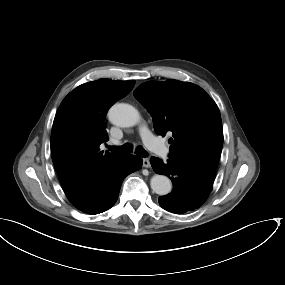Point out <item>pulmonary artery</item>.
<instances>
[{
  "label": "pulmonary artery",
  "mask_w": 285,
  "mask_h": 285,
  "mask_svg": "<svg viewBox=\"0 0 285 285\" xmlns=\"http://www.w3.org/2000/svg\"><path fill=\"white\" fill-rule=\"evenodd\" d=\"M140 136L142 137L144 143L150 147L156 154L162 158H167L169 155V149L154 135H152L148 129L141 128Z\"/></svg>",
  "instance_id": "1"
}]
</instances>
